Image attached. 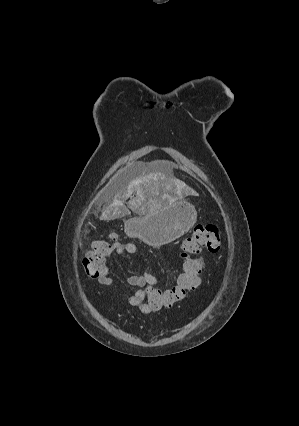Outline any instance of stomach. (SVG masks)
<instances>
[{"label": "stomach", "mask_w": 299, "mask_h": 426, "mask_svg": "<svg viewBox=\"0 0 299 426\" xmlns=\"http://www.w3.org/2000/svg\"><path fill=\"white\" fill-rule=\"evenodd\" d=\"M197 221L195 207L186 200L167 202L144 216L125 222V232L152 247H161L180 238Z\"/></svg>", "instance_id": "1"}]
</instances>
